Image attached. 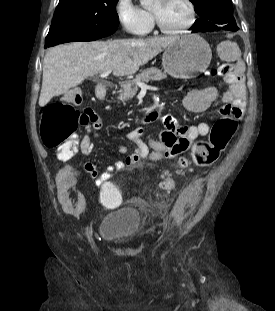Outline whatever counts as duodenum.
<instances>
[{"mask_svg": "<svg viewBox=\"0 0 275 311\" xmlns=\"http://www.w3.org/2000/svg\"><path fill=\"white\" fill-rule=\"evenodd\" d=\"M95 93H96L97 97L104 98L106 96V93H107L106 84H104V83L97 84L96 89H95Z\"/></svg>", "mask_w": 275, "mask_h": 311, "instance_id": "1", "label": "duodenum"}]
</instances>
